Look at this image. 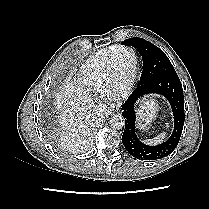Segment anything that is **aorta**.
<instances>
[{"instance_id":"obj_1","label":"aorta","mask_w":209,"mask_h":209,"mask_svg":"<svg viewBox=\"0 0 209 209\" xmlns=\"http://www.w3.org/2000/svg\"><path fill=\"white\" fill-rule=\"evenodd\" d=\"M109 124L114 129H122L125 125V120L121 114H115L110 118Z\"/></svg>"}]
</instances>
